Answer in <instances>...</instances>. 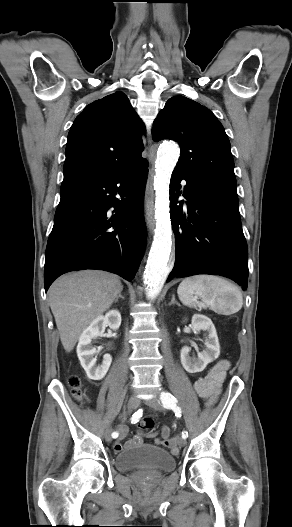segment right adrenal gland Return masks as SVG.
<instances>
[{
  "label": "right adrenal gland",
  "mask_w": 292,
  "mask_h": 527,
  "mask_svg": "<svg viewBox=\"0 0 292 527\" xmlns=\"http://www.w3.org/2000/svg\"><path fill=\"white\" fill-rule=\"evenodd\" d=\"M119 299H122V300L125 299L124 296H122L121 292L119 293L118 297L115 299V303H117Z\"/></svg>",
  "instance_id": "1"
}]
</instances>
